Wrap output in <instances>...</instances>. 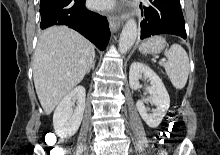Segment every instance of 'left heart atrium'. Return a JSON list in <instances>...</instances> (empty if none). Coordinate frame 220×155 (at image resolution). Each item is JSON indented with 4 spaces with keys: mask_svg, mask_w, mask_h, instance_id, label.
<instances>
[{
    "mask_svg": "<svg viewBox=\"0 0 220 155\" xmlns=\"http://www.w3.org/2000/svg\"><path fill=\"white\" fill-rule=\"evenodd\" d=\"M116 0H92V5L98 10H108L114 7Z\"/></svg>",
    "mask_w": 220,
    "mask_h": 155,
    "instance_id": "1",
    "label": "left heart atrium"
}]
</instances>
